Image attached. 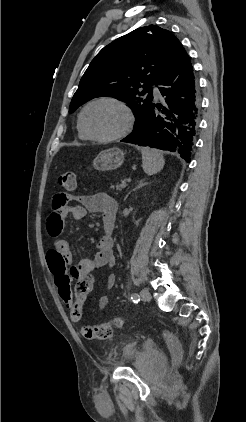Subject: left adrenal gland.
<instances>
[{"label":"left adrenal gland","instance_id":"1","mask_svg":"<svg viewBox=\"0 0 246 422\" xmlns=\"http://www.w3.org/2000/svg\"><path fill=\"white\" fill-rule=\"evenodd\" d=\"M146 185H148V182H145L143 180L142 181H139L136 184L135 188L132 191H136V190H138V189H140V188H142V187H144ZM130 193H131V191L125 196L124 201L128 198V196L130 195Z\"/></svg>","mask_w":246,"mask_h":422}]
</instances>
